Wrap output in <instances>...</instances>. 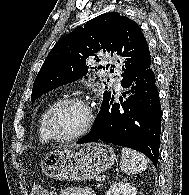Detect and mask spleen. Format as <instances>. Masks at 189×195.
<instances>
[{
    "instance_id": "spleen-1",
    "label": "spleen",
    "mask_w": 189,
    "mask_h": 195,
    "mask_svg": "<svg viewBox=\"0 0 189 195\" xmlns=\"http://www.w3.org/2000/svg\"><path fill=\"white\" fill-rule=\"evenodd\" d=\"M120 168L127 174L140 173L147 169V160L144 155L128 148H122Z\"/></svg>"
}]
</instances>
